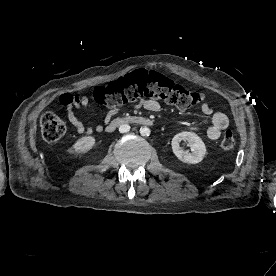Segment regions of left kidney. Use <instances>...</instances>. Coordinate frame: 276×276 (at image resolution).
Segmentation results:
<instances>
[{"mask_svg": "<svg viewBox=\"0 0 276 276\" xmlns=\"http://www.w3.org/2000/svg\"><path fill=\"white\" fill-rule=\"evenodd\" d=\"M181 141H186L191 152L184 151L179 146ZM172 150L175 156L182 162L197 164L201 162L206 155V146L202 139L193 132H181L176 134L172 139Z\"/></svg>", "mask_w": 276, "mask_h": 276, "instance_id": "left-kidney-1", "label": "left kidney"}]
</instances>
